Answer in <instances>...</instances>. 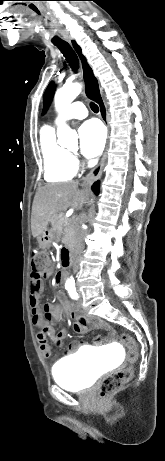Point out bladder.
Listing matches in <instances>:
<instances>
[{
  "instance_id": "bladder-1",
  "label": "bladder",
  "mask_w": 165,
  "mask_h": 461,
  "mask_svg": "<svg viewBox=\"0 0 165 461\" xmlns=\"http://www.w3.org/2000/svg\"><path fill=\"white\" fill-rule=\"evenodd\" d=\"M106 361L95 356L94 351H79L52 368V377L61 387L71 391L88 389L105 372Z\"/></svg>"
}]
</instances>
